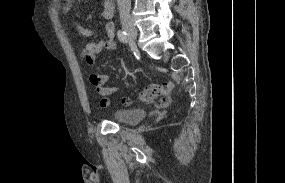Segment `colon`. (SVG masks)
Instances as JSON below:
<instances>
[{
  "mask_svg": "<svg viewBox=\"0 0 285 183\" xmlns=\"http://www.w3.org/2000/svg\"><path fill=\"white\" fill-rule=\"evenodd\" d=\"M125 104H126V105H131V104H132V99H131V98H127V99L125 100Z\"/></svg>",
  "mask_w": 285,
  "mask_h": 183,
  "instance_id": "obj_1",
  "label": "colon"
}]
</instances>
